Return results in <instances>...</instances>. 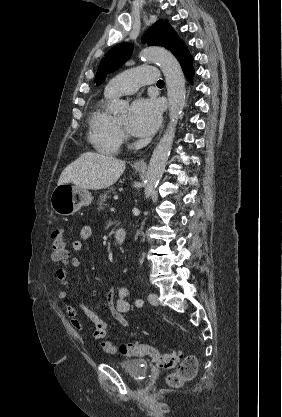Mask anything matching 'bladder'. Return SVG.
Instances as JSON below:
<instances>
[{"label":"bladder","mask_w":282,"mask_h":417,"mask_svg":"<svg viewBox=\"0 0 282 417\" xmlns=\"http://www.w3.org/2000/svg\"><path fill=\"white\" fill-rule=\"evenodd\" d=\"M117 366L134 381L145 379L150 372L148 363L143 359L123 360Z\"/></svg>","instance_id":"31cf9c89"}]
</instances>
